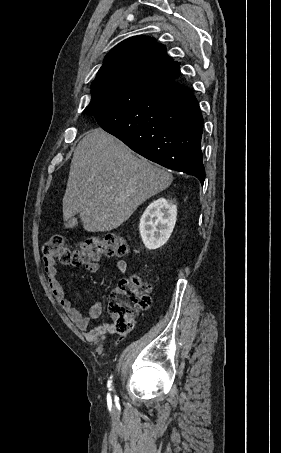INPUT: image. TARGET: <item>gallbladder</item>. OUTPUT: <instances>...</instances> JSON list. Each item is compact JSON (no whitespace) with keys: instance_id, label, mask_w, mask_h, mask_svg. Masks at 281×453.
I'll return each mask as SVG.
<instances>
[{"instance_id":"1","label":"gallbladder","mask_w":281,"mask_h":453,"mask_svg":"<svg viewBox=\"0 0 281 453\" xmlns=\"http://www.w3.org/2000/svg\"><path fill=\"white\" fill-rule=\"evenodd\" d=\"M76 223H77V220H76V218H74V220H71L70 222H69V221H66V222L64 223V226H65L66 228H69V227H70V228L73 229V228L76 227V225H77Z\"/></svg>"}]
</instances>
